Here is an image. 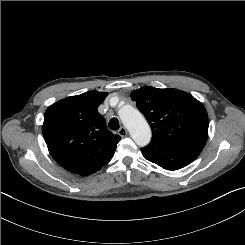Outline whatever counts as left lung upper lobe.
<instances>
[{"instance_id":"obj_1","label":"left lung upper lobe","mask_w":245,"mask_h":245,"mask_svg":"<svg viewBox=\"0 0 245 245\" xmlns=\"http://www.w3.org/2000/svg\"><path fill=\"white\" fill-rule=\"evenodd\" d=\"M152 129V140L197 155L208 137V115L197 99L177 89L143 87L131 93Z\"/></svg>"}]
</instances>
